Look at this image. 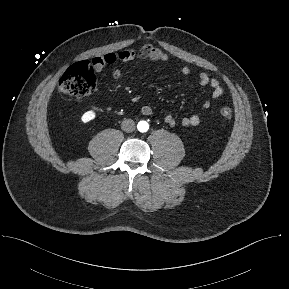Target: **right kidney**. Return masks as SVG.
<instances>
[{
  "mask_svg": "<svg viewBox=\"0 0 289 289\" xmlns=\"http://www.w3.org/2000/svg\"><path fill=\"white\" fill-rule=\"evenodd\" d=\"M96 117V114L94 111L90 110V111H87L85 112L82 117H81V121L83 123H88L90 122L91 120H94Z\"/></svg>",
  "mask_w": 289,
  "mask_h": 289,
  "instance_id": "ca27d5eb",
  "label": "right kidney"
}]
</instances>
